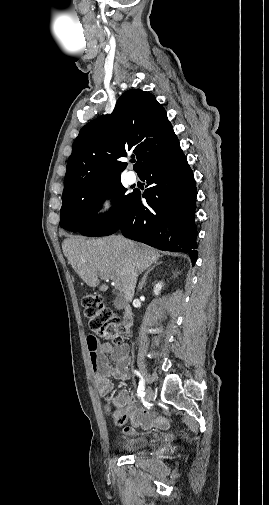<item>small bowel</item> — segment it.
Wrapping results in <instances>:
<instances>
[{
  "label": "small bowel",
  "mask_w": 269,
  "mask_h": 505,
  "mask_svg": "<svg viewBox=\"0 0 269 505\" xmlns=\"http://www.w3.org/2000/svg\"><path fill=\"white\" fill-rule=\"evenodd\" d=\"M87 348L94 371L96 388L100 395L104 396L112 391L111 378L129 379V347L126 344L114 346L110 342H100L96 338L88 336ZM108 356L112 358L114 365L109 363ZM115 403L124 416L130 420L131 424L123 429L126 434L134 435L137 427L148 429L155 425L160 429H165L169 425L167 418L154 419L151 413L137 408L127 390H120L116 393Z\"/></svg>",
  "instance_id": "obj_1"
}]
</instances>
